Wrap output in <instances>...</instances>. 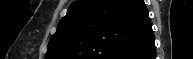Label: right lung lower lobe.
<instances>
[{
    "mask_svg": "<svg viewBox=\"0 0 193 59\" xmlns=\"http://www.w3.org/2000/svg\"><path fill=\"white\" fill-rule=\"evenodd\" d=\"M119 59H156L155 40L153 34L136 49L126 53Z\"/></svg>",
    "mask_w": 193,
    "mask_h": 59,
    "instance_id": "98d812e1",
    "label": "right lung lower lobe"
}]
</instances>
